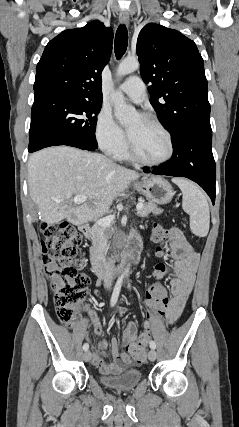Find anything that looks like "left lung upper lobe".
<instances>
[{
    "label": "left lung upper lobe",
    "instance_id": "5c2ea615",
    "mask_svg": "<svg viewBox=\"0 0 239 427\" xmlns=\"http://www.w3.org/2000/svg\"><path fill=\"white\" fill-rule=\"evenodd\" d=\"M140 73L172 142L185 131L211 130L208 84L196 44L177 30L149 23L139 33Z\"/></svg>",
    "mask_w": 239,
    "mask_h": 427
}]
</instances>
